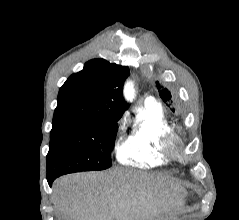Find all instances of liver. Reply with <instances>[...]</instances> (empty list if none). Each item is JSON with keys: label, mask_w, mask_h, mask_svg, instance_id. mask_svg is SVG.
I'll return each mask as SVG.
<instances>
[{"label": "liver", "mask_w": 239, "mask_h": 220, "mask_svg": "<svg viewBox=\"0 0 239 220\" xmlns=\"http://www.w3.org/2000/svg\"><path fill=\"white\" fill-rule=\"evenodd\" d=\"M185 197L186 190L166 177L116 168L57 179L52 201L64 220H153Z\"/></svg>", "instance_id": "liver-1"}]
</instances>
